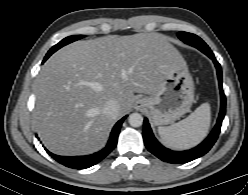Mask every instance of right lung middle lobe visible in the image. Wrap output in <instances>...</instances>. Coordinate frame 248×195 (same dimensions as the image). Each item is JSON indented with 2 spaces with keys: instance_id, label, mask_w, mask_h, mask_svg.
<instances>
[{
  "instance_id": "1",
  "label": "right lung middle lobe",
  "mask_w": 248,
  "mask_h": 195,
  "mask_svg": "<svg viewBox=\"0 0 248 195\" xmlns=\"http://www.w3.org/2000/svg\"><path fill=\"white\" fill-rule=\"evenodd\" d=\"M84 36L83 35H76V36H69V37H66L65 39H63L62 41H60L58 44H56L55 46H53L49 51L48 53L46 54L45 58H44V61L48 59V57L50 55H52L54 52H56L58 49H60L61 47L71 43V42H74L76 40H79L81 38H83Z\"/></svg>"
}]
</instances>
